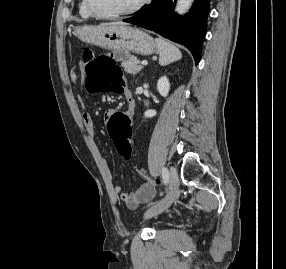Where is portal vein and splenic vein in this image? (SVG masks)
Returning a JSON list of instances; mask_svg holds the SVG:
<instances>
[{
	"instance_id": "portal-vein-and-splenic-vein-1",
	"label": "portal vein and splenic vein",
	"mask_w": 286,
	"mask_h": 269,
	"mask_svg": "<svg viewBox=\"0 0 286 269\" xmlns=\"http://www.w3.org/2000/svg\"><path fill=\"white\" fill-rule=\"evenodd\" d=\"M141 64H142V65H147L148 62H147L146 60H143V61L141 62Z\"/></svg>"
}]
</instances>
